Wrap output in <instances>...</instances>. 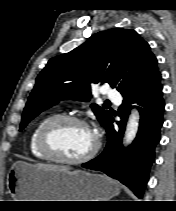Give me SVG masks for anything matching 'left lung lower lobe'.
Instances as JSON below:
<instances>
[{
    "mask_svg": "<svg viewBox=\"0 0 176 211\" xmlns=\"http://www.w3.org/2000/svg\"><path fill=\"white\" fill-rule=\"evenodd\" d=\"M161 74L143 86L123 95L119 108V130L113 127V117L106 125L108 142L104 151L82 167L99 170L128 186L139 198L148 181L149 169L154 161L155 146L160 140L163 124L164 100ZM137 103L140 126L136 139L127 148L122 146V136L131 104Z\"/></svg>",
    "mask_w": 176,
    "mask_h": 211,
    "instance_id": "1",
    "label": "left lung lower lobe"
}]
</instances>
